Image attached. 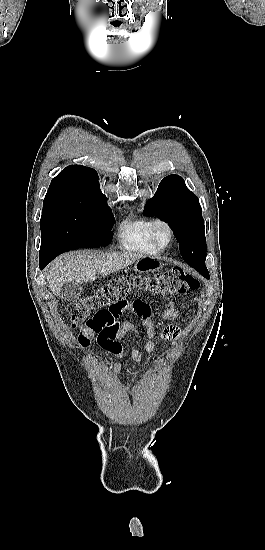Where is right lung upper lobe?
I'll list each match as a JSON object with an SVG mask.
<instances>
[{
    "label": "right lung upper lobe",
    "instance_id": "1",
    "mask_svg": "<svg viewBox=\"0 0 265 550\" xmlns=\"http://www.w3.org/2000/svg\"><path fill=\"white\" fill-rule=\"evenodd\" d=\"M97 172L89 167L70 165L52 179L44 201L107 199L99 187Z\"/></svg>",
    "mask_w": 265,
    "mask_h": 550
}]
</instances>
